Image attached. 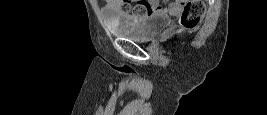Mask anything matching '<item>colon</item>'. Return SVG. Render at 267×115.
<instances>
[{"label":"colon","instance_id":"colon-1","mask_svg":"<svg viewBox=\"0 0 267 115\" xmlns=\"http://www.w3.org/2000/svg\"><path fill=\"white\" fill-rule=\"evenodd\" d=\"M123 9L128 12L132 10L128 1L123 4ZM204 9V4L200 1L186 2L180 15L181 24L188 28L195 27L199 23L204 13ZM132 11L135 13V15L149 14L155 12V7L148 4L139 3Z\"/></svg>","mask_w":267,"mask_h":115}]
</instances>
